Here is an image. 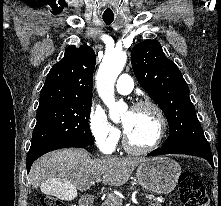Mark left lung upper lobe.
I'll return each mask as SVG.
<instances>
[{"label": "left lung upper lobe", "mask_w": 221, "mask_h": 206, "mask_svg": "<svg viewBox=\"0 0 221 206\" xmlns=\"http://www.w3.org/2000/svg\"><path fill=\"white\" fill-rule=\"evenodd\" d=\"M132 68L139 84L164 112L170 135L162 147H210L189 97L180 70L168 59L160 43L145 40L131 52Z\"/></svg>", "instance_id": "5c2ea615"}]
</instances>
